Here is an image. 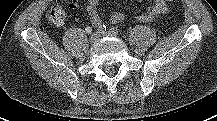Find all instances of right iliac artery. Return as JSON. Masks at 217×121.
Masks as SVG:
<instances>
[{"label": "right iliac artery", "mask_w": 217, "mask_h": 121, "mask_svg": "<svg viewBox=\"0 0 217 121\" xmlns=\"http://www.w3.org/2000/svg\"><path fill=\"white\" fill-rule=\"evenodd\" d=\"M106 31V26L105 25H101L100 27H98V33H103Z\"/></svg>", "instance_id": "1"}]
</instances>
